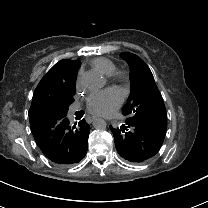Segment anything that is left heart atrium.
Segmentation results:
<instances>
[{
  "label": "left heart atrium",
  "mask_w": 208,
  "mask_h": 208,
  "mask_svg": "<svg viewBox=\"0 0 208 208\" xmlns=\"http://www.w3.org/2000/svg\"><path fill=\"white\" fill-rule=\"evenodd\" d=\"M85 106L90 113L105 116L113 110L115 104L112 99L94 93L87 97Z\"/></svg>",
  "instance_id": "1"
}]
</instances>
